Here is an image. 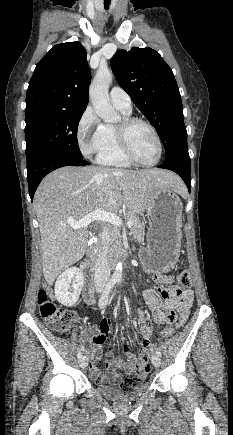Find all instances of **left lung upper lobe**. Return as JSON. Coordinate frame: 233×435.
<instances>
[{
	"instance_id": "obj_1",
	"label": "left lung upper lobe",
	"mask_w": 233,
	"mask_h": 435,
	"mask_svg": "<svg viewBox=\"0 0 233 435\" xmlns=\"http://www.w3.org/2000/svg\"><path fill=\"white\" fill-rule=\"evenodd\" d=\"M111 68L118 83L157 130L166 157L187 147L179 88L161 55L151 48L118 50Z\"/></svg>"
}]
</instances>
